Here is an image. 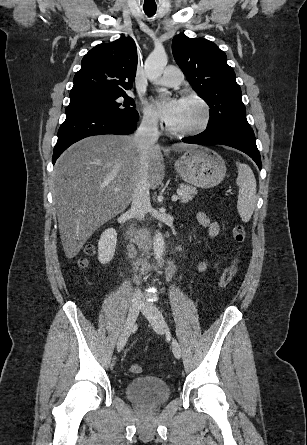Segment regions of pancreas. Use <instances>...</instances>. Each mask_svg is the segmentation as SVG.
Wrapping results in <instances>:
<instances>
[{
	"instance_id": "cf45deb5",
	"label": "pancreas",
	"mask_w": 307,
	"mask_h": 445,
	"mask_svg": "<svg viewBox=\"0 0 307 445\" xmlns=\"http://www.w3.org/2000/svg\"><path fill=\"white\" fill-rule=\"evenodd\" d=\"M179 188L182 190L180 202H188V200L194 198V194H197L195 186H190V184H183V182H181Z\"/></svg>"
}]
</instances>
